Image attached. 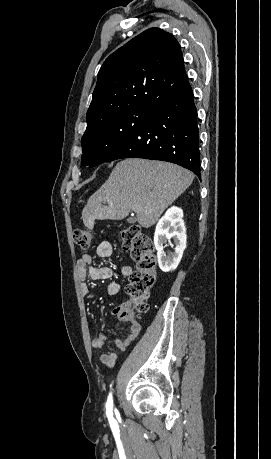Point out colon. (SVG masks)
Instances as JSON below:
<instances>
[{
	"label": "colon",
	"instance_id": "colon-1",
	"mask_svg": "<svg viewBox=\"0 0 271 459\" xmlns=\"http://www.w3.org/2000/svg\"><path fill=\"white\" fill-rule=\"evenodd\" d=\"M94 240V233L88 228H77L73 232L74 243L82 250L88 249ZM122 247L130 252L136 262V270L132 272L126 293L130 305L124 306L123 316L132 317L135 313L147 312L150 292L156 282L157 256L151 238L143 233L139 226L132 225L119 233Z\"/></svg>",
	"mask_w": 271,
	"mask_h": 459
}]
</instances>
